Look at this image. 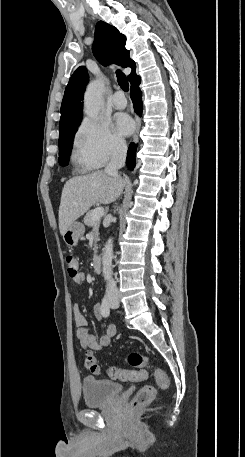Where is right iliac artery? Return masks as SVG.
I'll list each match as a JSON object with an SVG mask.
<instances>
[{
	"label": "right iliac artery",
	"instance_id": "obj_1",
	"mask_svg": "<svg viewBox=\"0 0 245 457\" xmlns=\"http://www.w3.org/2000/svg\"><path fill=\"white\" fill-rule=\"evenodd\" d=\"M101 313L104 317H108L110 314V302L108 297L105 295L101 304Z\"/></svg>",
	"mask_w": 245,
	"mask_h": 457
}]
</instances>
